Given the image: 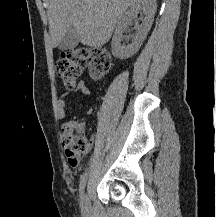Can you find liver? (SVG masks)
<instances>
[{"mask_svg": "<svg viewBox=\"0 0 216 217\" xmlns=\"http://www.w3.org/2000/svg\"><path fill=\"white\" fill-rule=\"evenodd\" d=\"M138 0H49V30L53 47L73 26L79 41L100 48L106 44L123 13Z\"/></svg>", "mask_w": 216, "mask_h": 217, "instance_id": "6515ba94", "label": "liver"}]
</instances>
